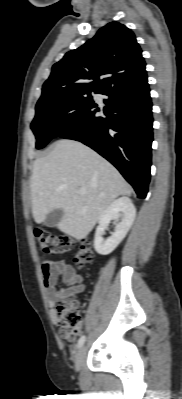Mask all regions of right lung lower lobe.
I'll use <instances>...</instances> for the list:
<instances>
[{
  "instance_id": "right-lung-lower-lobe-1",
  "label": "right lung lower lobe",
  "mask_w": 182,
  "mask_h": 399,
  "mask_svg": "<svg viewBox=\"0 0 182 399\" xmlns=\"http://www.w3.org/2000/svg\"><path fill=\"white\" fill-rule=\"evenodd\" d=\"M106 117L98 113L82 127L59 137L84 143L110 161L133 186L138 198L148 192L151 167L152 102L147 75L104 93Z\"/></svg>"
}]
</instances>
